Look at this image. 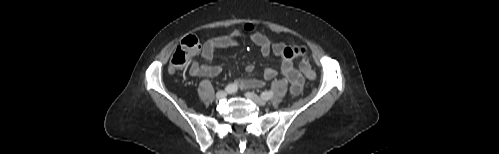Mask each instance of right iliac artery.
Returning <instances> with one entry per match:
<instances>
[{"label":"right iliac artery","instance_id":"obj_1","mask_svg":"<svg viewBox=\"0 0 499 154\" xmlns=\"http://www.w3.org/2000/svg\"><path fill=\"white\" fill-rule=\"evenodd\" d=\"M238 89L237 85L236 84H229L228 86H226L225 90L228 92V93H234L236 92Z\"/></svg>","mask_w":499,"mask_h":154}]
</instances>
